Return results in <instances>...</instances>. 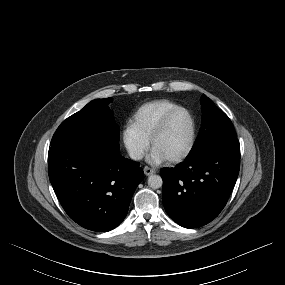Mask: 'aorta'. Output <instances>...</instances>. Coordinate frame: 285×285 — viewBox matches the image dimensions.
<instances>
[{"label":"aorta","mask_w":285,"mask_h":285,"mask_svg":"<svg viewBox=\"0 0 285 285\" xmlns=\"http://www.w3.org/2000/svg\"><path fill=\"white\" fill-rule=\"evenodd\" d=\"M163 181L159 175H150L148 178V186L152 189H158L162 186Z\"/></svg>","instance_id":"1"}]
</instances>
